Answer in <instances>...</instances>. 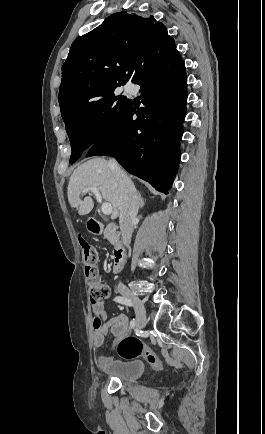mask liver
<instances>
[{
    "label": "liver",
    "instance_id": "obj_1",
    "mask_svg": "<svg viewBox=\"0 0 265 434\" xmlns=\"http://www.w3.org/2000/svg\"><path fill=\"white\" fill-rule=\"evenodd\" d=\"M91 186L98 188L102 198L112 204V220L118 218L121 208V194L115 174L107 160H103V158L88 160L85 164L78 166L70 176L67 196L71 208H79L78 214L80 216H86L94 208L93 200L89 196L84 198L83 202L80 200V194L84 188H91Z\"/></svg>",
    "mask_w": 265,
    "mask_h": 434
}]
</instances>
